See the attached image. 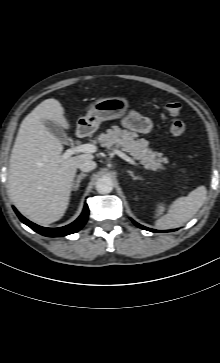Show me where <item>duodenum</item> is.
Here are the masks:
<instances>
[{"instance_id": "1", "label": "duodenum", "mask_w": 220, "mask_h": 363, "mask_svg": "<svg viewBox=\"0 0 220 363\" xmlns=\"http://www.w3.org/2000/svg\"><path fill=\"white\" fill-rule=\"evenodd\" d=\"M88 135V130L85 127H80L77 129V136L79 138H84Z\"/></svg>"}]
</instances>
